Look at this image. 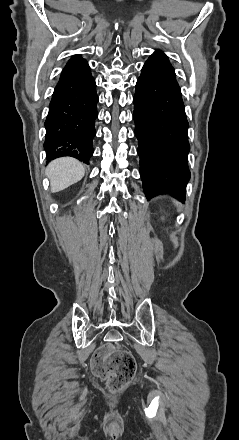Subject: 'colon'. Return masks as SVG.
Here are the masks:
<instances>
[{"mask_svg": "<svg viewBox=\"0 0 239 440\" xmlns=\"http://www.w3.org/2000/svg\"><path fill=\"white\" fill-rule=\"evenodd\" d=\"M92 368L96 375L107 381L112 391H118L133 378L136 361L129 351L106 345L95 352Z\"/></svg>", "mask_w": 239, "mask_h": 440, "instance_id": "1", "label": "colon"}]
</instances>
